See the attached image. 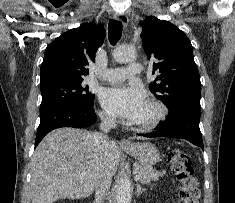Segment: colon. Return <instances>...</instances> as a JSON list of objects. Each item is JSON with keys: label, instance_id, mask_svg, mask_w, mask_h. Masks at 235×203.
I'll return each instance as SVG.
<instances>
[{"label": "colon", "instance_id": "colon-1", "mask_svg": "<svg viewBox=\"0 0 235 203\" xmlns=\"http://www.w3.org/2000/svg\"><path fill=\"white\" fill-rule=\"evenodd\" d=\"M168 158L179 183L180 203H199L200 189L194 177L190 156L181 150H172Z\"/></svg>", "mask_w": 235, "mask_h": 203}]
</instances>
